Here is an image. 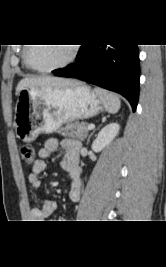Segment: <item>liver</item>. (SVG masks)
Returning <instances> with one entry per match:
<instances>
[{"label": "liver", "mask_w": 166, "mask_h": 267, "mask_svg": "<svg viewBox=\"0 0 166 267\" xmlns=\"http://www.w3.org/2000/svg\"><path fill=\"white\" fill-rule=\"evenodd\" d=\"M78 83L74 80L64 79L52 76H40L22 79L16 87V95L18 96L20 91L25 88H64L73 87Z\"/></svg>", "instance_id": "1"}]
</instances>
